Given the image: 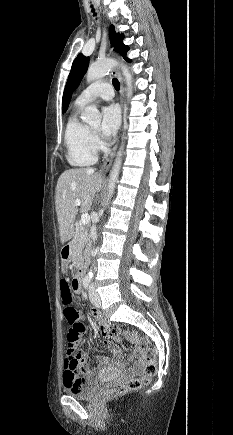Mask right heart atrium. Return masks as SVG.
I'll return each mask as SVG.
<instances>
[{"label":"right heart atrium","mask_w":233,"mask_h":435,"mask_svg":"<svg viewBox=\"0 0 233 435\" xmlns=\"http://www.w3.org/2000/svg\"><path fill=\"white\" fill-rule=\"evenodd\" d=\"M92 144H93V146H94L95 149H98V148H99V141H98V138H97L96 135H93V136H92Z\"/></svg>","instance_id":"right-heart-atrium-1"}]
</instances>
